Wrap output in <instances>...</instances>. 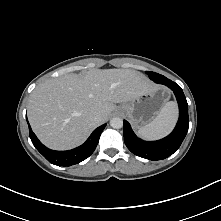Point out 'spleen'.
<instances>
[{"mask_svg": "<svg viewBox=\"0 0 221 221\" xmlns=\"http://www.w3.org/2000/svg\"><path fill=\"white\" fill-rule=\"evenodd\" d=\"M177 119V106L173 101L167 102L161 108L158 115L147 125L138 130V134L144 139H157L168 134Z\"/></svg>", "mask_w": 221, "mask_h": 221, "instance_id": "obj_1", "label": "spleen"}]
</instances>
